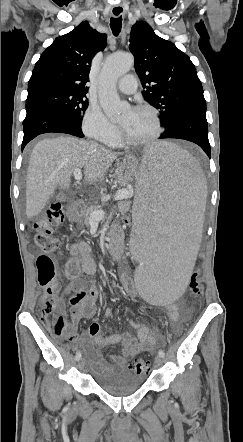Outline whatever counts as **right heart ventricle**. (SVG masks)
<instances>
[{
  "label": "right heart ventricle",
  "instance_id": "e07e8e85",
  "mask_svg": "<svg viewBox=\"0 0 243 442\" xmlns=\"http://www.w3.org/2000/svg\"><path fill=\"white\" fill-rule=\"evenodd\" d=\"M111 145L113 146H120L121 145V141L118 137H116L115 139H113L112 141L109 142Z\"/></svg>",
  "mask_w": 243,
  "mask_h": 442
}]
</instances>
